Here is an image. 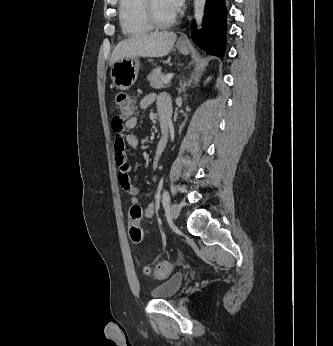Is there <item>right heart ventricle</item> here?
I'll use <instances>...</instances> for the list:
<instances>
[{
    "instance_id": "1",
    "label": "right heart ventricle",
    "mask_w": 333,
    "mask_h": 346,
    "mask_svg": "<svg viewBox=\"0 0 333 346\" xmlns=\"http://www.w3.org/2000/svg\"><path fill=\"white\" fill-rule=\"evenodd\" d=\"M118 11L123 34L136 36L152 29L145 12L144 0H119Z\"/></svg>"
}]
</instances>
